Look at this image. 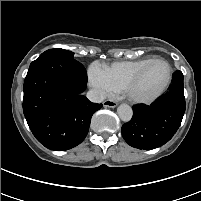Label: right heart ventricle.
I'll use <instances>...</instances> for the list:
<instances>
[{"label":"right heart ventricle","mask_w":201,"mask_h":201,"mask_svg":"<svg viewBox=\"0 0 201 201\" xmlns=\"http://www.w3.org/2000/svg\"><path fill=\"white\" fill-rule=\"evenodd\" d=\"M153 58H144L133 61H120L112 63L109 66H105L106 71L112 85L116 92H120L124 89L127 81L146 63Z\"/></svg>","instance_id":"e07e8e85"}]
</instances>
